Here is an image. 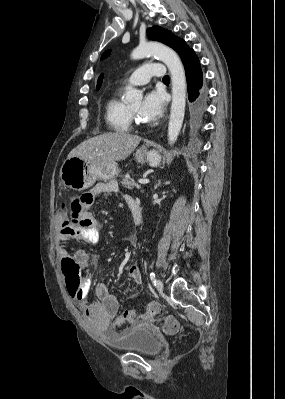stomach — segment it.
Segmentation results:
<instances>
[{"mask_svg":"<svg viewBox=\"0 0 285 399\" xmlns=\"http://www.w3.org/2000/svg\"><path fill=\"white\" fill-rule=\"evenodd\" d=\"M136 159L139 162L148 161L152 166H158L161 156L155 150L138 151ZM119 173L115 162L91 163L80 157L67 158L60 169V179L64 186L81 191L91 187L96 180H111Z\"/></svg>","mask_w":285,"mask_h":399,"instance_id":"1","label":"stomach"}]
</instances>
